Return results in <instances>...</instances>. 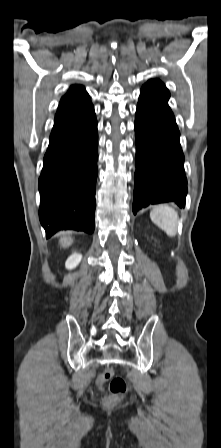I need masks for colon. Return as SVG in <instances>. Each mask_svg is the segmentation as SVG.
Masks as SVG:
<instances>
[{
	"label": "colon",
	"mask_w": 221,
	"mask_h": 448,
	"mask_svg": "<svg viewBox=\"0 0 221 448\" xmlns=\"http://www.w3.org/2000/svg\"><path fill=\"white\" fill-rule=\"evenodd\" d=\"M105 382H109V395L105 398L104 404L107 407H112L124 396L127 385L122 377L114 375V371L111 368H106L98 379L99 385H103Z\"/></svg>",
	"instance_id": "colon-1"
}]
</instances>
